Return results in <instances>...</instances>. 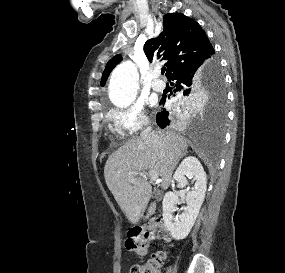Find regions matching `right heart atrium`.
Returning <instances> with one entry per match:
<instances>
[{"label":"right heart atrium","mask_w":285,"mask_h":273,"mask_svg":"<svg viewBox=\"0 0 285 273\" xmlns=\"http://www.w3.org/2000/svg\"><path fill=\"white\" fill-rule=\"evenodd\" d=\"M110 118L115 130L122 136L137 134L148 124V118L141 103L114 108L110 112Z\"/></svg>","instance_id":"right-heart-atrium-1"}]
</instances>
